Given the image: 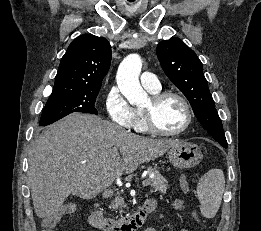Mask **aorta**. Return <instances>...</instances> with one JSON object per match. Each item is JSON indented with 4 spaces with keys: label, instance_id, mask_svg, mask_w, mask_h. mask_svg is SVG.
<instances>
[{
    "label": "aorta",
    "instance_id": "obj_1",
    "mask_svg": "<svg viewBox=\"0 0 261 231\" xmlns=\"http://www.w3.org/2000/svg\"><path fill=\"white\" fill-rule=\"evenodd\" d=\"M141 68L140 56L130 54L121 62L117 71V85L121 93L132 105L143 103L148 97L139 82Z\"/></svg>",
    "mask_w": 261,
    "mask_h": 231
}]
</instances>
